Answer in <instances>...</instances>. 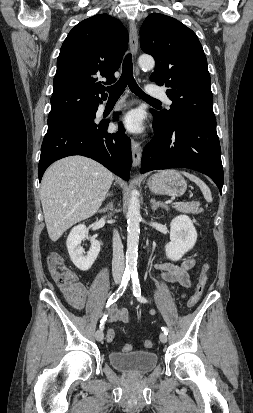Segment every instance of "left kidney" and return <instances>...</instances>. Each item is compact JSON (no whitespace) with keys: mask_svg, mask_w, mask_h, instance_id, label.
<instances>
[{"mask_svg":"<svg viewBox=\"0 0 253 413\" xmlns=\"http://www.w3.org/2000/svg\"><path fill=\"white\" fill-rule=\"evenodd\" d=\"M197 240V232L191 219L186 215L175 217L170 224V242L165 245L168 259L178 261L192 249Z\"/></svg>","mask_w":253,"mask_h":413,"instance_id":"1","label":"left kidney"}]
</instances>
